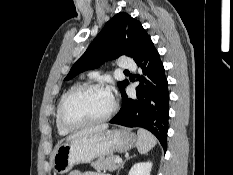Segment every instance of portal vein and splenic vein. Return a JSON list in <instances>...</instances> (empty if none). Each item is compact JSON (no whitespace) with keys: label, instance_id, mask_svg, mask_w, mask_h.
Here are the masks:
<instances>
[{"label":"portal vein and splenic vein","instance_id":"portal-vein-and-splenic-vein-1","mask_svg":"<svg viewBox=\"0 0 233 175\" xmlns=\"http://www.w3.org/2000/svg\"><path fill=\"white\" fill-rule=\"evenodd\" d=\"M116 163H121L122 162V159L120 157H117L116 160H115Z\"/></svg>","mask_w":233,"mask_h":175}]
</instances>
